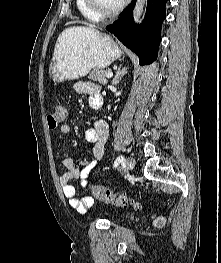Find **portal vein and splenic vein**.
<instances>
[{"label": "portal vein and splenic vein", "mask_w": 221, "mask_h": 263, "mask_svg": "<svg viewBox=\"0 0 221 263\" xmlns=\"http://www.w3.org/2000/svg\"><path fill=\"white\" fill-rule=\"evenodd\" d=\"M113 76V73L112 72H109L107 75H106V78H111Z\"/></svg>", "instance_id": "portal-vein-and-splenic-vein-1"}]
</instances>
